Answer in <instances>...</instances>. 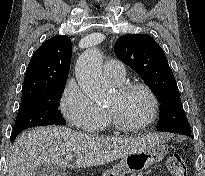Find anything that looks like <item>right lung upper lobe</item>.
Listing matches in <instances>:
<instances>
[{"label":"right lung upper lobe","mask_w":205,"mask_h":176,"mask_svg":"<svg viewBox=\"0 0 205 176\" xmlns=\"http://www.w3.org/2000/svg\"><path fill=\"white\" fill-rule=\"evenodd\" d=\"M71 40L54 36L33 54L22 88V96L45 91L66 83L71 62Z\"/></svg>","instance_id":"right-lung-upper-lobe-1"}]
</instances>
